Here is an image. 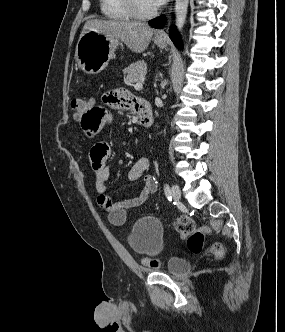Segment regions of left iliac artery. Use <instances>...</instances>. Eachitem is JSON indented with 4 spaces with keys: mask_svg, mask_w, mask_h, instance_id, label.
I'll use <instances>...</instances> for the list:
<instances>
[{
    "mask_svg": "<svg viewBox=\"0 0 285 332\" xmlns=\"http://www.w3.org/2000/svg\"><path fill=\"white\" fill-rule=\"evenodd\" d=\"M164 192H165V195H166L167 199L169 201H171V198H172V196H171V190H170V187H169L168 184L164 185Z\"/></svg>",
    "mask_w": 285,
    "mask_h": 332,
    "instance_id": "left-iliac-artery-1",
    "label": "left iliac artery"
}]
</instances>
